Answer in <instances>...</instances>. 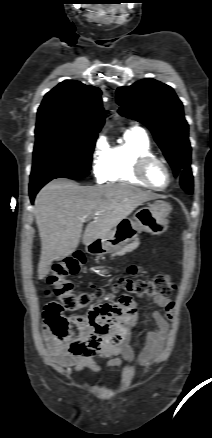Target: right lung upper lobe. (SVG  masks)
<instances>
[{
	"instance_id": "right-lung-upper-lobe-1",
	"label": "right lung upper lobe",
	"mask_w": 212,
	"mask_h": 438,
	"mask_svg": "<svg viewBox=\"0 0 212 438\" xmlns=\"http://www.w3.org/2000/svg\"><path fill=\"white\" fill-rule=\"evenodd\" d=\"M100 95L96 87L75 80L61 82L45 95L38 108L35 132L98 133L105 119Z\"/></svg>"
}]
</instances>
